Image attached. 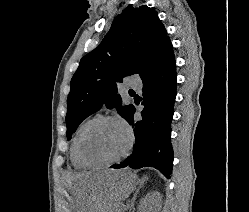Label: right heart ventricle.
<instances>
[{
	"mask_svg": "<svg viewBox=\"0 0 249 212\" xmlns=\"http://www.w3.org/2000/svg\"><path fill=\"white\" fill-rule=\"evenodd\" d=\"M92 120V118H87L84 121H82L80 123V125L77 127L76 131L73 134L72 140L70 142L69 145V152H68V156H69V162L71 164V166L76 169V170H81L83 168H85V166H83L77 156H76V142L77 139L81 133V131L83 130V128Z\"/></svg>",
	"mask_w": 249,
	"mask_h": 212,
	"instance_id": "right-heart-ventricle-1",
	"label": "right heart ventricle"
}]
</instances>
